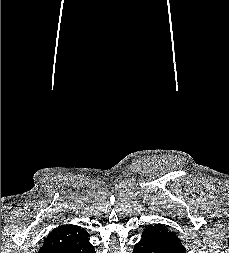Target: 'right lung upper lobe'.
I'll list each match as a JSON object with an SVG mask.
<instances>
[{"label":"right lung upper lobe","instance_id":"cb5924a9","mask_svg":"<svg viewBox=\"0 0 229 253\" xmlns=\"http://www.w3.org/2000/svg\"><path fill=\"white\" fill-rule=\"evenodd\" d=\"M89 234L76 225H61L46 237L38 253H59L87 239Z\"/></svg>","mask_w":229,"mask_h":253}]
</instances>
